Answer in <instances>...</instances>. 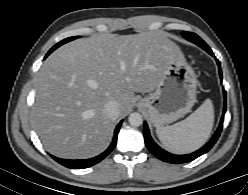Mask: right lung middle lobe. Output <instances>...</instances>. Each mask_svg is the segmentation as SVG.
<instances>
[{"label": "right lung middle lobe", "instance_id": "1", "mask_svg": "<svg viewBox=\"0 0 248 195\" xmlns=\"http://www.w3.org/2000/svg\"><path fill=\"white\" fill-rule=\"evenodd\" d=\"M79 37H80V36L69 37V38H66V39L60 41L59 43H57L55 46H53V47L50 49V51L47 53L46 56H48L51 52H53L55 49H57V48L60 47L61 45L65 44V43H67V42H70V41H72V40H74V39H76V38H79Z\"/></svg>", "mask_w": 248, "mask_h": 195}]
</instances>
